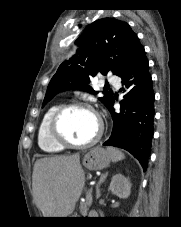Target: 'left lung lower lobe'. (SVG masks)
<instances>
[{"label":"left lung lower lobe","instance_id":"left-lung-lower-lobe-1","mask_svg":"<svg viewBox=\"0 0 181 227\" xmlns=\"http://www.w3.org/2000/svg\"><path fill=\"white\" fill-rule=\"evenodd\" d=\"M130 92L121 101L120 113H116L114 99L108 107L113 118V130L104 145L124 148L147 168L151 151L154 119V91L149 64L144 47L138 43L119 75Z\"/></svg>","mask_w":181,"mask_h":227}]
</instances>
